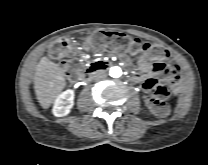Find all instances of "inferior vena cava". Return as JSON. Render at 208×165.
I'll return each instance as SVG.
<instances>
[{
    "instance_id": "602c4592",
    "label": "inferior vena cava",
    "mask_w": 208,
    "mask_h": 165,
    "mask_svg": "<svg viewBox=\"0 0 208 165\" xmlns=\"http://www.w3.org/2000/svg\"><path fill=\"white\" fill-rule=\"evenodd\" d=\"M106 77V74L104 72H97L92 76L93 80L99 81Z\"/></svg>"
}]
</instances>
